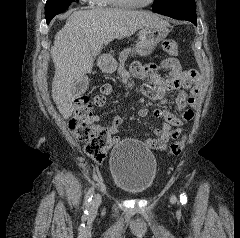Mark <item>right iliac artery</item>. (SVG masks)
Returning <instances> with one entry per match:
<instances>
[{
	"label": "right iliac artery",
	"mask_w": 240,
	"mask_h": 238,
	"mask_svg": "<svg viewBox=\"0 0 240 238\" xmlns=\"http://www.w3.org/2000/svg\"><path fill=\"white\" fill-rule=\"evenodd\" d=\"M93 193H94V187L89 188V190H88V192H87V194H86V197H85V206H86L87 208H89V206H90ZM85 214H88V211H87V210L85 211Z\"/></svg>",
	"instance_id": "1"
}]
</instances>
